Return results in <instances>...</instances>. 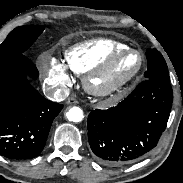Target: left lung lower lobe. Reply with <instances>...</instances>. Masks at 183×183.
I'll use <instances>...</instances> for the list:
<instances>
[{
  "instance_id": "0a47b994",
  "label": "left lung lower lobe",
  "mask_w": 183,
  "mask_h": 183,
  "mask_svg": "<svg viewBox=\"0 0 183 183\" xmlns=\"http://www.w3.org/2000/svg\"><path fill=\"white\" fill-rule=\"evenodd\" d=\"M173 101L169 80L146 79L125 100L88 116V140L97 161L120 166L148 155L165 130Z\"/></svg>"
}]
</instances>
